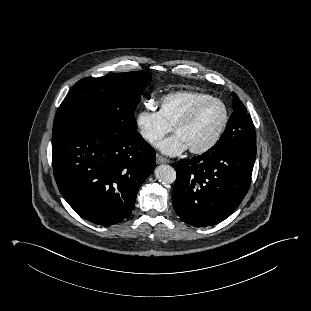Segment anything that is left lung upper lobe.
I'll return each mask as SVG.
<instances>
[{
	"label": "left lung upper lobe",
	"mask_w": 311,
	"mask_h": 311,
	"mask_svg": "<svg viewBox=\"0 0 311 311\" xmlns=\"http://www.w3.org/2000/svg\"><path fill=\"white\" fill-rule=\"evenodd\" d=\"M233 95L234 112L228 120L224 133L210 151L222 150L237 144H256V133L251 116L235 93Z\"/></svg>",
	"instance_id": "obj_1"
}]
</instances>
